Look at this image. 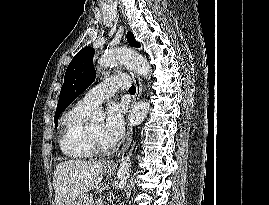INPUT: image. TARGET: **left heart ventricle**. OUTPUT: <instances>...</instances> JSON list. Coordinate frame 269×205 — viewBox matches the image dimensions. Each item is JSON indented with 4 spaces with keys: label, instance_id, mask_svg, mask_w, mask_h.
Segmentation results:
<instances>
[{
    "label": "left heart ventricle",
    "instance_id": "1",
    "mask_svg": "<svg viewBox=\"0 0 269 205\" xmlns=\"http://www.w3.org/2000/svg\"><path fill=\"white\" fill-rule=\"evenodd\" d=\"M102 123L95 124L89 128V131L98 139V141L104 146H112L109 142H107L102 136Z\"/></svg>",
    "mask_w": 269,
    "mask_h": 205
}]
</instances>
